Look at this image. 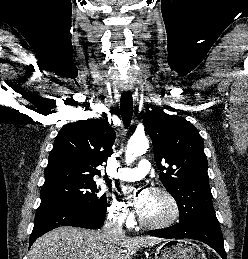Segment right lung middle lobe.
I'll list each match as a JSON object with an SVG mask.
<instances>
[{
  "instance_id": "dd1d6c3e",
  "label": "right lung middle lobe",
  "mask_w": 248,
  "mask_h": 259,
  "mask_svg": "<svg viewBox=\"0 0 248 259\" xmlns=\"http://www.w3.org/2000/svg\"><path fill=\"white\" fill-rule=\"evenodd\" d=\"M98 192L94 180H63L44 183L40 195L41 203L59 202L105 213L106 195Z\"/></svg>"
}]
</instances>
